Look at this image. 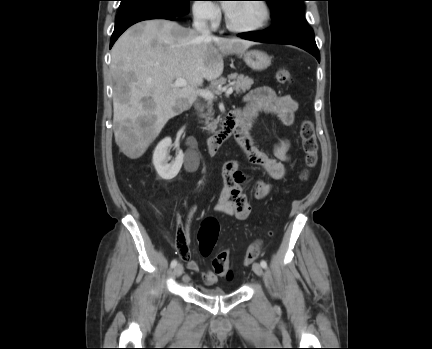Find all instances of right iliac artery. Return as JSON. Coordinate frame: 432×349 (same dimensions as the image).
Segmentation results:
<instances>
[{
  "instance_id": "1",
  "label": "right iliac artery",
  "mask_w": 432,
  "mask_h": 349,
  "mask_svg": "<svg viewBox=\"0 0 432 349\" xmlns=\"http://www.w3.org/2000/svg\"><path fill=\"white\" fill-rule=\"evenodd\" d=\"M176 265H177V260L174 259V260L171 262V267L174 268Z\"/></svg>"
}]
</instances>
